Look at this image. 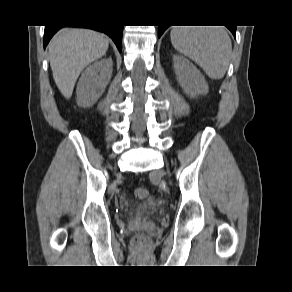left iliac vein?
<instances>
[{"instance_id": "1", "label": "left iliac vein", "mask_w": 292, "mask_h": 292, "mask_svg": "<svg viewBox=\"0 0 292 292\" xmlns=\"http://www.w3.org/2000/svg\"><path fill=\"white\" fill-rule=\"evenodd\" d=\"M157 174H158L159 176H162V175H164V172H163V171H159V172H157Z\"/></svg>"}]
</instances>
